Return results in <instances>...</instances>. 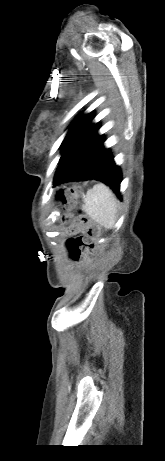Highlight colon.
Returning a JSON list of instances; mask_svg holds the SVG:
<instances>
[{
	"label": "colon",
	"mask_w": 165,
	"mask_h": 461,
	"mask_svg": "<svg viewBox=\"0 0 165 461\" xmlns=\"http://www.w3.org/2000/svg\"><path fill=\"white\" fill-rule=\"evenodd\" d=\"M76 193V190L74 189H69V190H62L58 194V198L67 206H71L73 202V196ZM65 219H69V216H66ZM84 224L89 225L90 229H92L93 234L98 233V228L95 226L91 225L90 220L82 216L80 219ZM83 248H93V244L91 240L89 239V242H84Z\"/></svg>",
	"instance_id": "5ec220e1"
}]
</instances>
